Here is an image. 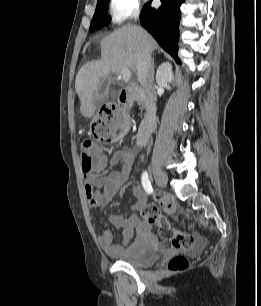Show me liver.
I'll use <instances>...</instances> for the list:
<instances>
[{
  "label": "liver",
  "instance_id": "liver-1",
  "mask_svg": "<svg viewBox=\"0 0 261 306\" xmlns=\"http://www.w3.org/2000/svg\"><path fill=\"white\" fill-rule=\"evenodd\" d=\"M100 47L101 59L84 64L76 76L75 89L80 99V111L87 118L96 112L95 91L99 83L110 73L120 74L125 68L135 72L142 49L152 52L157 43L142 27L128 24L102 39Z\"/></svg>",
  "mask_w": 261,
  "mask_h": 306
}]
</instances>
